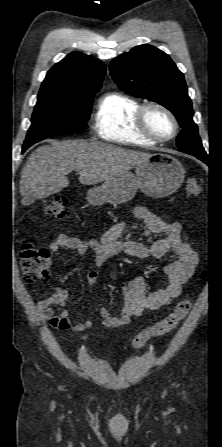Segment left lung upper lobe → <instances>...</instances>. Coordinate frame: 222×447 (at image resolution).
<instances>
[{
	"label": "left lung upper lobe",
	"mask_w": 222,
	"mask_h": 447,
	"mask_svg": "<svg viewBox=\"0 0 222 447\" xmlns=\"http://www.w3.org/2000/svg\"><path fill=\"white\" fill-rule=\"evenodd\" d=\"M110 73L126 93L157 102L175 115L182 128L177 138L179 149L207 156L192 119L183 73L166 53L147 44L136 46L111 61Z\"/></svg>",
	"instance_id": "left-lung-upper-lobe-1"
}]
</instances>
